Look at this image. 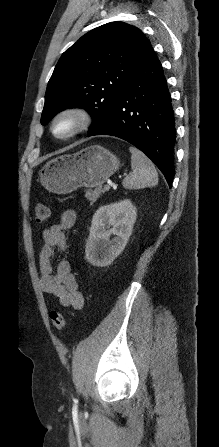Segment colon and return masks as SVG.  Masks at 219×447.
<instances>
[{"label": "colon", "mask_w": 219, "mask_h": 447, "mask_svg": "<svg viewBox=\"0 0 219 447\" xmlns=\"http://www.w3.org/2000/svg\"><path fill=\"white\" fill-rule=\"evenodd\" d=\"M49 208L44 203H38L35 206V220L38 224H44L49 218ZM53 326L57 330H62L65 327V318L61 311L51 310L49 314Z\"/></svg>", "instance_id": "5ec220e1"}]
</instances>
